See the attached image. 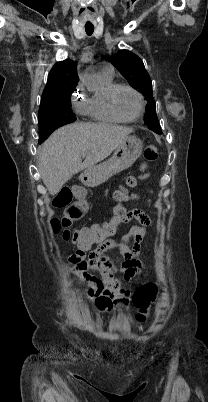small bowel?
I'll use <instances>...</instances> for the list:
<instances>
[{"mask_svg":"<svg viewBox=\"0 0 208 402\" xmlns=\"http://www.w3.org/2000/svg\"><path fill=\"white\" fill-rule=\"evenodd\" d=\"M150 173L145 172L139 176V179L145 180L149 177ZM120 190H123L127 197L131 200H137L139 198L136 193H129L123 186H120ZM129 218L135 219L142 223L146 227H153L154 223L150 217L139 209L129 211ZM127 220V221H128ZM126 221V222H127ZM119 225V224H116ZM103 229V228H102ZM111 226H106V231H111ZM147 235V231L144 227L133 226L124 235L119 243H112V236H103L101 241L98 242V248L93 252L88 253L87 262L81 261L78 267H71L72 275L79 281L86 283L89 287L87 289V295L90 298L97 296H107L109 298H117L119 303L124 302L123 296L127 292L123 286L122 278L131 280L137 273V269L142 264L143 251L139 250L140 243ZM130 241L134 242L136 249L128 247ZM107 242V243H106ZM110 249H118L126 259L125 263L121 267L114 265L106 254ZM97 266L104 274V279L99 280L95 276L87 272L88 267Z\"/></svg>","mask_w":208,"mask_h":402,"instance_id":"small-bowel-1","label":"small bowel"}]
</instances>
